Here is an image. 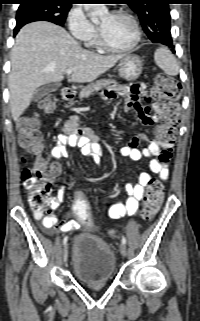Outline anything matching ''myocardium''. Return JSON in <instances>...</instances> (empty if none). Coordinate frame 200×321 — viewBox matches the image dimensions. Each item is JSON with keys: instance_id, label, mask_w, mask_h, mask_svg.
Segmentation results:
<instances>
[{"instance_id": "1", "label": "myocardium", "mask_w": 200, "mask_h": 321, "mask_svg": "<svg viewBox=\"0 0 200 321\" xmlns=\"http://www.w3.org/2000/svg\"><path fill=\"white\" fill-rule=\"evenodd\" d=\"M111 15L125 17L132 22V24L134 26V30H135L134 40L128 46L114 47V46L110 45L105 40L102 32L100 31V29H98L97 42H98L99 46L102 47L104 50L109 51V52H113V53H126L129 51H132L140 43L141 37H142V32H141V27H140L139 21L137 20V18L134 15H132L131 13H129L125 10H115L111 13Z\"/></svg>"}]
</instances>
